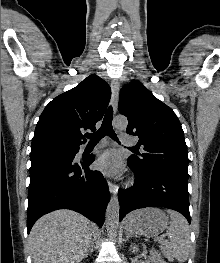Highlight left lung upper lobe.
Instances as JSON below:
<instances>
[{
  "label": "left lung upper lobe",
  "mask_w": 220,
  "mask_h": 263,
  "mask_svg": "<svg viewBox=\"0 0 220 263\" xmlns=\"http://www.w3.org/2000/svg\"><path fill=\"white\" fill-rule=\"evenodd\" d=\"M119 112L128 118L126 132L139 137L146 151L129 158L137 168H165L188 178L184 132L170 107L134 80L121 89Z\"/></svg>",
  "instance_id": "obj_1"
}]
</instances>
